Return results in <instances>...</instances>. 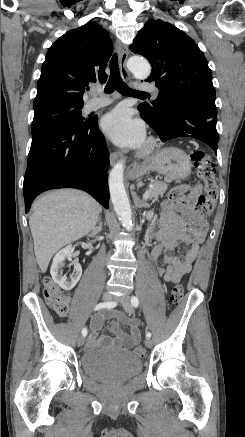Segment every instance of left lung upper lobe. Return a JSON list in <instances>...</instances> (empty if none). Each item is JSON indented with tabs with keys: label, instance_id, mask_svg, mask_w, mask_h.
I'll use <instances>...</instances> for the list:
<instances>
[{
	"label": "left lung upper lobe",
	"instance_id": "left-lung-upper-lobe-1",
	"mask_svg": "<svg viewBox=\"0 0 245 437\" xmlns=\"http://www.w3.org/2000/svg\"><path fill=\"white\" fill-rule=\"evenodd\" d=\"M130 49L149 60L152 72L148 81H155L159 89L157 99L151 104H140L139 110L159 113L167 100L186 98L217 111L208 62L194 40L183 31L168 22L149 19Z\"/></svg>",
	"mask_w": 245,
	"mask_h": 437
}]
</instances>
